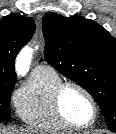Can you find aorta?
<instances>
[{
    "mask_svg": "<svg viewBox=\"0 0 116 134\" xmlns=\"http://www.w3.org/2000/svg\"><path fill=\"white\" fill-rule=\"evenodd\" d=\"M32 53L33 49L29 46H26L18 55L16 65L20 74H25L28 70L32 58Z\"/></svg>",
    "mask_w": 116,
    "mask_h": 134,
    "instance_id": "762f6f07",
    "label": "aorta"
}]
</instances>
